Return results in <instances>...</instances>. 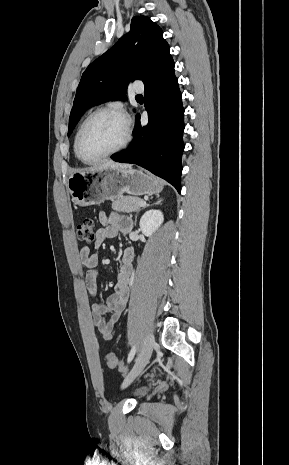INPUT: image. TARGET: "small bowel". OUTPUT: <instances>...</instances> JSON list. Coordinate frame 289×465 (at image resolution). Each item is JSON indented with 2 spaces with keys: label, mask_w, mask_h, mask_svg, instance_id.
<instances>
[{
  "label": "small bowel",
  "mask_w": 289,
  "mask_h": 465,
  "mask_svg": "<svg viewBox=\"0 0 289 465\" xmlns=\"http://www.w3.org/2000/svg\"><path fill=\"white\" fill-rule=\"evenodd\" d=\"M100 224L95 235V248L98 250L103 243L117 234H127L132 229V222L127 217L117 213L100 212L98 215ZM81 263L87 271L84 281L89 295L94 299L92 304V318L95 327L102 334L103 338L110 340L113 337L115 324L119 320L129 297V283L133 268L134 252L131 248H126L120 261L117 273L116 285L105 303L101 302L98 289V252L91 253L88 246H83L79 253Z\"/></svg>",
  "instance_id": "1"
}]
</instances>
